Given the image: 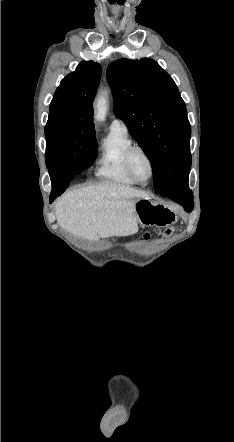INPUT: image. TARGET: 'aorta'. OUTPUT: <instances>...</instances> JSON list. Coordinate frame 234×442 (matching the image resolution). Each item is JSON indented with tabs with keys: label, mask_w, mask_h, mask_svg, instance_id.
Returning a JSON list of instances; mask_svg holds the SVG:
<instances>
[{
	"label": "aorta",
	"mask_w": 234,
	"mask_h": 442,
	"mask_svg": "<svg viewBox=\"0 0 234 442\" xmlns=\"http://www.w3.org/2000/svg\"><path fill=\"white\" fill-rule=\"evenodd\" d=\"M107 93L103 92L96 100V119L99 121H102L105 119L106 112H107Z\"/></svg>",
	"instance_id": "aorta-1"
}]
</instances>
